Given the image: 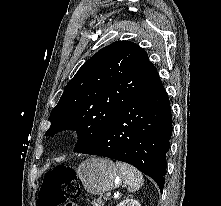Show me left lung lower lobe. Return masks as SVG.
I'll return each mask as SVG.
<instances>
[{
    "mask_svg": "<svg viewBox=\"0 0 221 206\" xmlns=\"http://www.w3.org/2000/svg\"><path fill=\"white\" fill-rule=\"evenodd\" d=\"M172 134L169 99L160 78L135 97L93 143L79 151L129 163L162 192Z\"/></svg>",
    "mask_w": 221,
    "mask_h": 206,
    "instance_id": "obj_1",
    "label": "left lung lower lobe"
}]
</instances>
